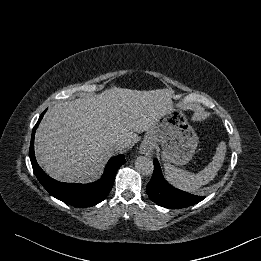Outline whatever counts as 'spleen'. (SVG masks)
Here are the masks:
<instances>
[{
  "label": "spleen",
  "instance_id": "3e777b00",
  "mask_svg": "<svg viewBox=\"0 0 261 261\" xmlns=\"http://www.w3.org/2000/svg\"><path fill=\"white\" fill-rule=\"evenodd\" d=\"M226 155V143L220 142L216 148V153L210 162L198 174H193L179 169L170 163H164L167 180L177 188L184 191H195L214 179L220 170Z\"/></svg>",
  "mask_w": 261,
  "mask_h": 261
}]
</instances>
